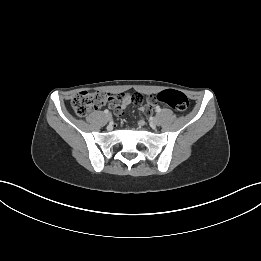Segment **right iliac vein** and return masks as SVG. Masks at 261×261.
Segmentation results:
<instances>
[{
    "instance_id": "obj_1",
    "label": "right iliac vein",
    "mask_w": 261,
    "mask_h": 261,
    "mask_svg": "<svg viewBox=\"0 0 261 261\" xmlns=\"http://www.w3.org/2000/svg\"><path fill=\"white\" fill-rule=\"evenodd\" d=\"M106 119H107L108 121H110V120L112 119L111 113L106 114Z\"/></svg>"
}]
</instances>
